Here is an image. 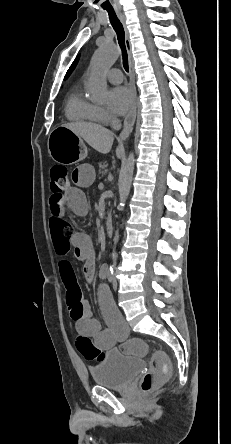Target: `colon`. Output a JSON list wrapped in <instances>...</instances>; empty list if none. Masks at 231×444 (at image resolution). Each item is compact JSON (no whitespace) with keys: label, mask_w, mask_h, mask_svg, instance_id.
<instances>
[{"label":"colon","mask_w":231,"mask_h":444,"mask_svg":"<svg viewBox=\"0 0 231 444\" xmlns=\"http://www.w3.org/2000/svg\"><path fill=\"white\" fill-rule=\"evenodd\" d=\"M70 188V177L68 170L63 165H54L50 169V190L53 197H63ZM76 348L88 361H100L104 352L97 348L90 338L78 336ZM126 349L136 355H145L148 351L147 344L138 338H131L126 342ZM170 374V364L167 356L160 351L153 353L150 359V367L141 379V389L149 392L162 383Z\"/></svg>","instance_id":"colon-1"}]
</instances>
